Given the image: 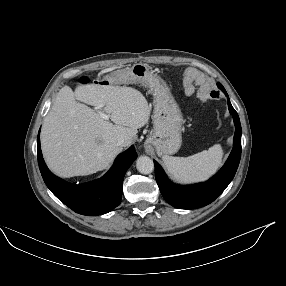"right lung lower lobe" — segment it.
I'll list each match as a JSON object with an SVG mask.
<instances>
[{
  "label": "right lung lower lobe",
  "instance_id": "1",
  "mask_svg": "<svg viewBox=\"0 0 286 286\" xmlns=\"http://www.w3.org/2000/svg\"><path fill=\"white\" fill-rule=\"evenodd\" d=\"M37 157L41 175L47 187L65 205L82 215H101L121 202L125 172L137 157L134 146L121 153L112 168L100 179L75 185L58 178L47 168L37 138Z\"/></svg>",
  "mask_w": 286,
  "mask_h": 286
}]
</instances>
